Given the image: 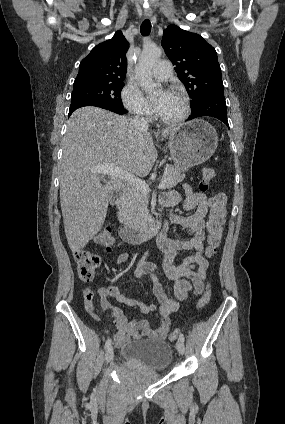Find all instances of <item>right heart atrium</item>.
Listing matches in <instances>:
<instances>
[{
    "instance_id": "d8ad5b80",
    "label": "right heart atrium",
    "mask_w": 285,
    "mask_h": 424,
    "mask_svg": "<svg viewBox=\"0 0 285 424\" xmlns=\"http://www.w3.org/2000/svg\"><path fill=\"white\" fill-rule=\"evenodd\" d=\"M121 99L124 107L132 115L141 119H149L152 116L153 110L150 102L134 82H128L123 87Z\"/></svg>"
}]
</instances>
